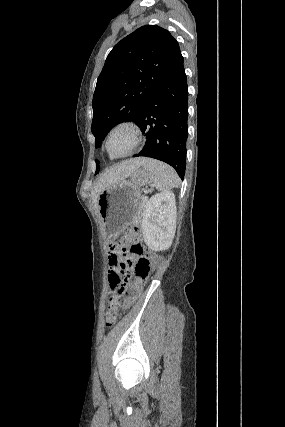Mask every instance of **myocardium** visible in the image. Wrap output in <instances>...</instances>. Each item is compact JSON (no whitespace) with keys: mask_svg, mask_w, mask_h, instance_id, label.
Instances as JSON below:
<instances>
[{"mask_svg":"<svg viewBox=\"0 0 285 427\" xmlns=\"http://www.w3.org/2000/svg\"><path fill=\"white\" fill-rule=\"evenodd\" d=\"M123 128L128 129L132 133L134 141L131 148L128 151L124 153L116 154L111 152V150L109 149V146H108L109 138L112 135V133H114L116 130L123 129ZM141 141H142V131L139 125L132 121H122L113 125L109 129L105 137L104 145H105V149L107 150L110 156L125 157L132 154L135 151V149L140 145Z\"/></svg>","mask_w":285,"mask_h":427,"instance_id":"obj_1","label":"myocardium"}]
</instances>
